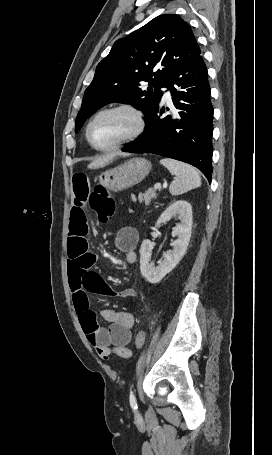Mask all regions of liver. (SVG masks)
<instances>
[{
	"mask_svg": "<svg viewBox=\"0 0 272 455\" xmlns=\"http://www.w3.org/2000/svg\"><path fill=\"white\" fill-rule=\"evenodd\" d=\"M114 154H108L94 159L89 165V169H98L108 165L114 158Z\"/></svg>",
	"mask_w": 272,
	"mask_h": 455,
	"instance_id": "obj_1",
	"label": "liver"
}]
</instances>
